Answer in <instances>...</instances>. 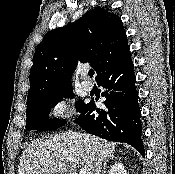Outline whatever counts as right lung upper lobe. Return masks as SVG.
Segmentation results:
<instances>
[{"mask_svg": "<svg viewBox=\"0 0 175 174\" xmlns=\"http://www.w3.org/2000/svg\"><path fill=\"white\" fill-rule=\"evenodd\" d=\"M127 53L129 47L120 17L95 8L76 22L45 35L33 57L27 103L72 89L70 78L78 62L90 63L97 79Z\"/></svg>", "mask_w": 175, "mask_h": 174, "instance_id": "cb5924a9", "label": "right lung upper lobe"}]
</instances>
